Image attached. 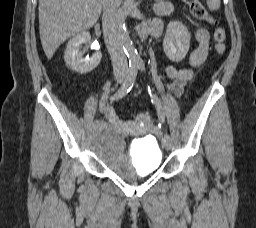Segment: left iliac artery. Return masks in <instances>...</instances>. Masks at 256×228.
<instances>
[{
  "mask_svg": "<svg viewBox=\"0 0 256 228\" xmlns=\"http://www.w3.org/2000/svg\"><path fill=\"white\" fill-rule=\"evenodd\" d=\"M138 68L141 71H143L145 69V65L143 63H139ZM151 98H152V102L156 106L158 117H159L160 121L164 122V112H163V108H162L160 100L158 99V97L155 94H152V93H151ZM165 135L170 137L167 133H165Z\"/></svg>",
  "mask_w": 256,
  "mask_h": 228,
  "instance_id": "left-iliac-artery-1",
  "label": "left iliac artery"
}]
</instances>
